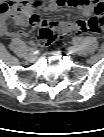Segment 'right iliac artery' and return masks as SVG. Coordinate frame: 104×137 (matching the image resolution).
I'll return each instance as SVG.
<instances>
[{
    "label": "right iliac artery",
    "instance_id": "1",
    "mask_svg": "<svg viewBox=\"0 0 104 137\" xmlns=\"http://www.w3.org/2000/svg\"><path fill=\"white\" fill-rule=\"evenodd\" d=\"M32 47L28 48V51L35 53L34 44H31Z\"/></svg>",
    "mask_w": 104,
    "mask_h": 137
}]
</instances>
